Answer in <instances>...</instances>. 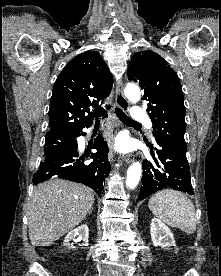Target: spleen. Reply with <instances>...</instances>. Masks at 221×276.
<instances>
[{
    "label": "spleen",
    "instance_id": "obj_1",
    "mask_svg": "<svg viewBox=\"0 0 221 276\" xmlns=\"http://www.w3.org/2000/svg\"><path fill=\"white\" fill-rule=\"evenodd\" d=\"M150 211L171 227L192 234L196 231V214L192 201L183 193L166 189L155 193L148 202Z\"/></svg>",
    "mask_w": 221,
    "mask_h": 276
}]
</instances>
